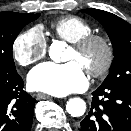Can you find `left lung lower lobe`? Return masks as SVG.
<instances>
[{"label":"left lung lower lobe","instance_id":"0a47b994","mask_svg":"<svg viewBox=\"0 0 131 131\" xmlns=\"http://www.w3.org/2000/svg\"><path fill=\"white\" fill-rule=\"evenodd\" d=\"M79 131H131V88L100 86Z\"/></svg>","mask_w":131,"mask_h":131}]
</instances>
